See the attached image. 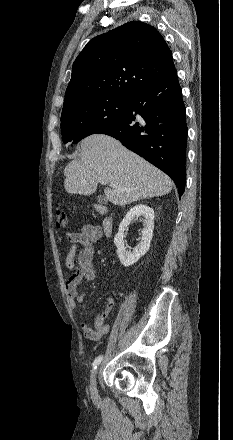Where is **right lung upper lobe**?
<instances>
[{
	"label": "right lung upper lobe",
	"mask_w": 233,
	"mask_h": 440,
	"mask_svg": "<svg viewBox=\"0 0 233 440\" xmlns=\"http://www.w3.org/2000/svg\"><path fill=\"white\" fill-rule=\"evenodd\" d=\"M175 71L172 54L152 26L132 21L99 35L73 63L64 107L91 98L129 99Z\"/></svg>",
	"instance_id": "obj_1"
}]
</instances>
